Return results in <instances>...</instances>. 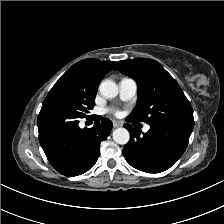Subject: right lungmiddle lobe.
Returning a JSON list of instances; mask_svg holds the SVG:
<instances>
[{"instance_id":"dd1d6c3e","label":"right lung middle lobe","mask_w":224,"mask_h":224,"mask_svg":"<svg viewBox=\"0 0 224 224\" xmlns=\"http://www.w3.org/2000/svg\"><path fill=\"white\" fill-rule=\"evenodd\" d=\"M97 88L82 76L66 71L49 91L42 107L56 108L81 118L88 117V111L95 105Z\"/></svg>"}]
</instances>
